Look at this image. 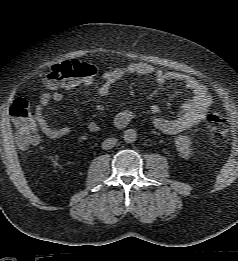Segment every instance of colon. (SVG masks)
<instances>
[{"mask_svg": "<svg viewBox=\"0 0 238 261\" xmlns=\"http://www.w3.org/2000/svg\"><path fill=\"white\" fill-rule=\"evenodd\" d=\"M96 73L93 64L80 60L65 61L54 65L45 77V84L54 89L72 86L77 80L92 77ZM13 119L15 137L21 149H27L39 142V134L35 120V113L29 103L19 98L10 108ZM207 124L213 141L222 144L228 133V119L218 111L211 112L207 117Z\"/></svg>", "mask_w": 238, "mask_h": 261, "instance_id": "5ec220e1", "label": "colon"}]
</instances>
